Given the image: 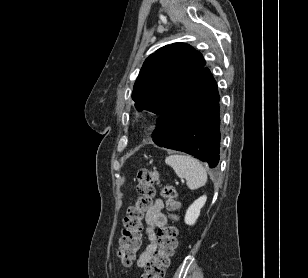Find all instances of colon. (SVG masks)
Wrapping results in <instances>:
<instances>
[{
	"label": "colon",
	"instance_id": "5ec220e1",
	"mask_svg": "<svg viewBox=\"0 0 308 278\" xmlns=\"http://www.w3.org/2000/svg\"><path fill=\"white\" fill-rule=\"evenodd\" d=\"M138 198L136 203L129 207L124 219V230L120 239L119 257L126 266L136 258L141 246V231L143 218L152 205L155 195V187L160 183V176L156 171L140 169L137 174ZM162 195L166 199V205L173 222L177 220L174 213L179 208L176 199V191L170 185L162 188ZM177 246V228L175 225H167L158 230V249L153 253L150 261L144 266L141 278H164L165 270L170 264Z\"/></svg>",
	"mask_w": 308,
	"mask_h": 278
}]
</instances>
